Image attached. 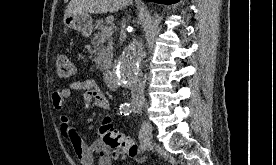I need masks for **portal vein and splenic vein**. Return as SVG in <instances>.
Segmentation results:
<instances>
[{"label": "portal vein and splenic vein", "mask_w": 276, "mask_h": 165, "mask_svg": "<svg viewBox=\"0 0 276 165\" xmlns=\"http://www.w3.org/2000/svg\"><path fill=\"white\" fill-rule=\"evenodd\" d=\"M101 33H102V35L107 36V37L112 36V34H113L112 26L103 27Z\"/></svg>", "instance_id": "portal-vein-and-splenic-vein-1"}]
</instances>
